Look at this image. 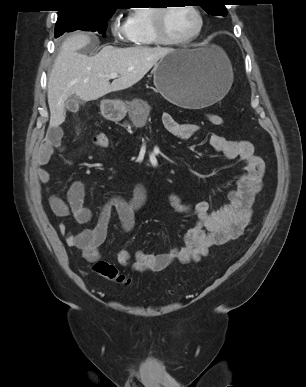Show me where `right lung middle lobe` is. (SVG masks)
I'll return each mask as SVG.
<instances>
[{"instance_id": "dd1d6c3e", "label": "right lung middle lobe", "mask_w": 306, "mask_h": 387, "mask_svg": "<svg viewBox=\"0 0 306 387\" xmlns=\"http://www.w3.org/2000/svg\"><path fill=\"white\" fill-rule=\"evenodd\" d=\"M115 10L97 11H67L59 13L55 26V37L63 35L65 32L75 30H85L99 32L105 36L107 21L112 17Z\"/></svg>"}]
</instances>
